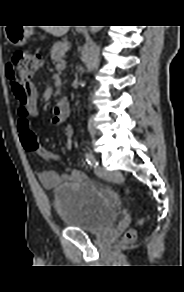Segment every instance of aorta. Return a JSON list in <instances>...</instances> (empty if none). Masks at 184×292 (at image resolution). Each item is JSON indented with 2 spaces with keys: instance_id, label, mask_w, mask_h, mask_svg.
<instances>
[{
  "instance_id": "obj_1",
  "label": "aorta",
  "mask_w": 184,
  "mask_h": 292,
  "mask_svg": "<svg viewBox=\"0 0 184 292\" xmlns=\"http://www.w3.org/2000/svg\"><path fill=\"white\" fill-rule=\"evenodd\" d=\"M100 29H101V26H91L90 32L92 34H95V33L99 32Z\"/></svg>"
}]
</instances>
